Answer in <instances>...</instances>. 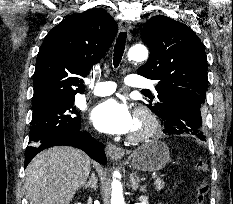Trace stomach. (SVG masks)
Returning a JSON list of instances; mask_svg holds the SVG:
<instances>
[{
  "label": "stomach",
  "mask_w": 233,
  "mask_h": 204,
  "mask_svg": "<svg viewBox=\"0 0 233 204\" xmlns=\"http://www.w3.org/2000/svg\"><path fill=\"white\" fill-rule=\"evenodd\" d=\"M131 165L140 171H159L170 160L167 145L159 140H151L138 147L131 155Z\"/></svg>",
  "instance_id": "stomach-1"
}]
</instances>
